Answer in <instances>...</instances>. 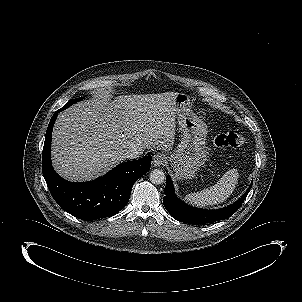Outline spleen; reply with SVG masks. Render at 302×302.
Masks as SVG:
<instances>
[{
	"mask_svg": "<svg viewBox=\"0 0 302 302\" xmlns=\"http://www.w3.org/2000/svg\"><path fill=\"white\" fill-rule=\"evenodd\" d=\"M239 173L237 169L228 170L215 185L185 196L192 205L203 208L224 202L233 193Z\"/></svg>",
	"mask_w": 302,
	"mask_h": 302,
	"instance_id": "obj_1",
	"label": "spleen"
}]
</instances>
